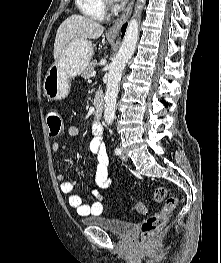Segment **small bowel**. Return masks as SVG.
Wrapping results in <instances>:
<instances>
[{
    "label": "small bowel",
    "mask_w": 221,
    "mask_h": 263,
    "mask_svg": "<svg viewBox=\"0 0 221 263\" xmlns=\"http://www.w3.org/2000/svg\"><path fill=\"white\" fill-rule=\"evenodd\" d=\"M67 134L70 137H76L79 134V128L75 125H70L67 128ZM51 150L54 154L60 151V144L54 141L51 144ZM89 150L96 161L95 182L98 188L107 189L112 184V178L108 174L109 156L107 154L101 131L93 128V136L90 140ZM56 179L60 184V190L64 195L68 196V203L71 207L77 210L80 216L100 215L103 211L102 196L98 189L91 191L95 201L91 204L83 203L81 197L74 193L77 185L76 181L67 180L64 172H58Z\"/></svg>",
    "instance_id": "small-bowel-1"
}]
</instances>
